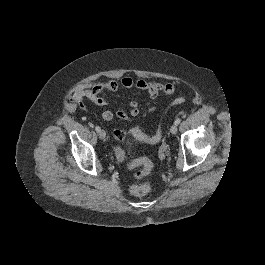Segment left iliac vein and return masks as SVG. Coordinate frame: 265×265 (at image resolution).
Returning a JSON list of instances; mask_svg holds the SVG:
<instances>
[{
  "label": "left iliac vein",
  "mask_w": 265,
  "mask_h": 265,
  "mask_svg": "<svg viewBox=\"0 0 265 265\" xmlns=\"http://www.w3.org/2000/svg\"><path fill=\"white\" fill-rule=\"evenodd\" d=\"M177 130H178V128H177V125L176 124H173L171 126V128H170L171 134H176L177 133Z\"/></svg>",
  "instance_id": "1"
}]
</instances>
